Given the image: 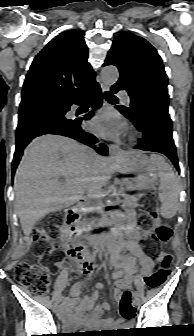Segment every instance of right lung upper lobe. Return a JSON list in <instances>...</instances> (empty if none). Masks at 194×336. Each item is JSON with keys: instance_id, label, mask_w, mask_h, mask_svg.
Listing matches in <instances>:
<instances>
[{"instance_id": "right-lung-upper-lobe-1", "label": "right lung upper lobe", "mask_w": 194, "mask_h": 336, "mask_svg": "<svg viewBox=\"0 0 194 336\" xmlns=\"http://www.w3.org/2000/svg\"><path fill=\"white\" fill-rule=\"evenodd\" d=\"M88 51L76 30L61 33L34 58L26 75L20 109L56 108L94 80Z\"/></svg>"}]
</instances>
